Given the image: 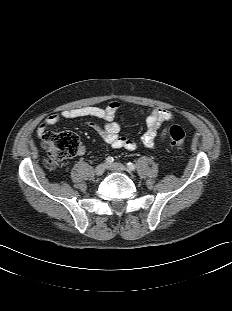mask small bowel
<instances>
[{"instance_id":"obj_1","label":"small bowel","mask_w":232,"mask_h":311,"mask_svg":"<svg viewBox=\"0 0 232 311\" xmlns=\"http://www.w3.org/2000/svg\"><path fill=\"white\" fill-rule=\"evenodd\" d=\"M121 109L118 101H112L105 108L98 106H85L79 108H71L60 111L59 113L47 116L37 128L39 138H44L48 133V128L57 124L63 119H74L82 117H92L101 119L103 124L89 122V126L93 128L102 138V140L113 148H122L133 151L137 148V143L133 139L124 137L120 134L121 127L118 122L114 121L115 115ZM137 111L145 117V130L140 137L141 143L147 148L155 146L159 129L164 122L171 121L174 117L173 113L162 108L153 107L147 110L137 109ZM167 132L163 131L160 138L165 140ZM85 148L79 149V155L84 154Z\"/></svg>"}]
</instances>
